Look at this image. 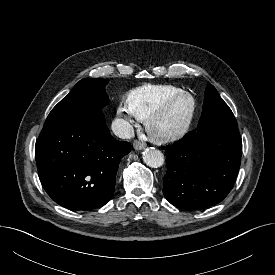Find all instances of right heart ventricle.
<instances>
[{"instance_id":"obj_1","label":"right heart ventricle","mask_w":275,"mask_h":275,"mask_svg":"<svg viewBox=\"0 0 275 275\" xmlns=\"http://www.w3.org/2000/svg\"><path fill=\"white\" fill-rule=\"evenodd\" d=\"M180 91L182 89L174 85L146 84L132 90L126 104L135 117L144 120L152 110Z\"/></svg>"}]
</instances>
